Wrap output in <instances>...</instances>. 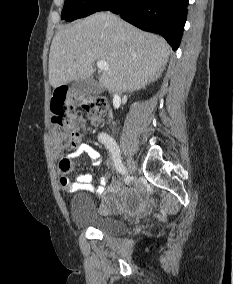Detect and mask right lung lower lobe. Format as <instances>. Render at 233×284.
Wrapping results in <instances>:
<instances>
[{
    "label": "right lung lower lobe",
    "mask_w": 233,
    "mask_h": 284,
    "mask_svg": "<svg viewBox=\"0 0 233 284\" xmlns=\"http://www.w3.org/2000/svg\"><path fill=\"white\" fill-rule=\"evenodd\" d=\"M187 5L188 0H106L97 11L110 10L140 29L156 32L177 50L186 22Z\"/></svg>",
    "instance_id": "obj_1"
}]
</instances>
